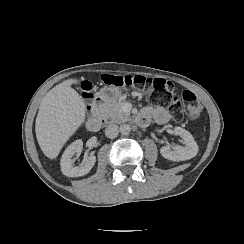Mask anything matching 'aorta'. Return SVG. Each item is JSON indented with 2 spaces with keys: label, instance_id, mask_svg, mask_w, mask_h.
<instances>
[{
  "label": "aorta",
  "instance_id": "obj_1",
  "mask_svg": "<svg viewBox=\"0 0 244 244\" xmlns=\"http://www.w3.org/2000/svg\"><path fill=\"white\" fill-rule=\"evenodd\" d=\"M130 131H131L130 125H128V124H122L120 126V133L122 135H128L130 133Z\"/></svg>",
  "mask_w": 244,
  "mask_h": 244
}]
</instances>
